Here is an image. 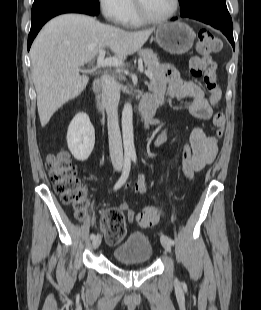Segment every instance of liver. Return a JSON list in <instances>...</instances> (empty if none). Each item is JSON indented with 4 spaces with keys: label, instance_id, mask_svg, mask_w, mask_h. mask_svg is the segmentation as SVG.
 <instances>
[{
    "label": "liver",
    "instance_id": "6515ba94",
    "mask_svg": "<svg viewBox=\"0 0 261 310\" xmlns=\"http://www.w3.org/2000/svg\"><path fill=\"white\" fill-rule=\"evenodd\" d=\"M153 31H125L82 14H63L50 20L30 50L41 126L86 88L89 77L80 75V66L91 62L105 47L115 58L124 60L140 50Z\"/></svg>",
    "mask_w": 261,
    "mask_h": 310
}]
</instances>
